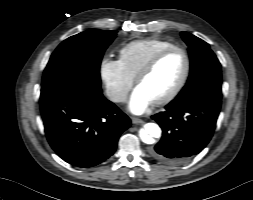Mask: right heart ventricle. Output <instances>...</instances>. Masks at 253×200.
Instances as JSON below:
<instances>
[{
    "instance_id": "e07e8e85",
    "label": "right heart ventricle",
    "mask_w": 253,
    "mask_h": 200,
    "mask_svg": "<svg viewBox=\"0 0 253 200\" xmlns=\"http://www.w3.org/2000/svg\"><path fill=\"white\" fill-rule=\"evenodd\" d=\"M174 46L169 41L157 38L134 40L119 50V61L126 73L135 78L140 69L155 55Z\"/></svg>"
}]
</instances>
